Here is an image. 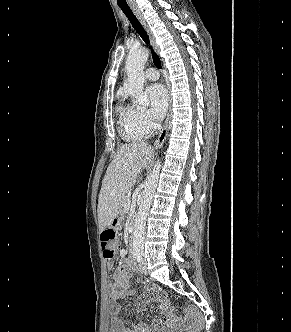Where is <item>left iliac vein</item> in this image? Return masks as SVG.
Returning a JSON list of instances; mask_svg holds the SVG:
<instances>
[{
    "mask_svg": "<svg viewBox=\"0 0 291 332\" xmlns=\"http://www.w3.org/2000/svg\"><path fill=\"white\" fill-rule=\"evenodd\" d=\"M139 269L141 273L147 274L148 273V268H147V261L143 259L140 264H139Z\"/></svg>",
    "mask_w": 291,
    "mask_h": 332,
    "instance_id": "1",
    "label": "left iliac vein"
}]
</instances>
